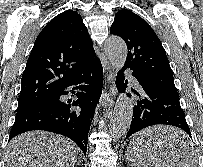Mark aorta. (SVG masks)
I'll return each mask as SVG.
<instances>
[{
	"mask_svg": "<svg viewBox=\"0 0 203 167\" xmlns=\"http://www.w3.org/2000/svg\"><path fill=\"white\" fill-rule=\"evenodd\" d=\"M105 53L114 68L119 70L126 61V43L120 37L111 36L105 41ZM132 116L133 105L126 94H121L117 99L110 121L109 133L112 138L119 139L126 135L132 122Z\"/></svg>",
	"mask_w": 203,
	"mask_h": 167,
	"instance_id": "1",
	"label": "aorta"
}]
</instances>
